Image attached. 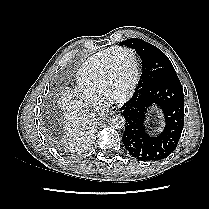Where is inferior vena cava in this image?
Instances as JSON below:
<instances>
[{"label": "inferior vena cava", "mask_w": 209, "mask_h": 209, "mask_svg": "<svg viewBox=\"0 0 209 209\" xmlns=\"http://www.w3.org/2000/svg\"><path fill=\"white\" fill-rule=\"evenodd\" d=\"M96 110L98 112H100L101 115H103L107 111V108L105 106H103V107H97Z\"/></svg>", "instance_id": "obj_1"}]
</instances>
